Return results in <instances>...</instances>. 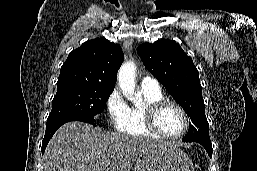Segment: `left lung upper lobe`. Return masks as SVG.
<instances>
[{
	"instance_id": "1",
	"label": "left lung upper lobe",
	"mask_w": 257,
	"mask_h": 171,
	"mask_svg": "<svg viewBox=\"0 0 257 171\" xmlns=\"http://www.w3.org/2000/svg\"><path fill=\"white\" fill-rule=\"evenodd\" d=\"M146 69L156 77L190 118L184 142L210 141L199 72L192 59L172 40L145 43L137 49Z\"/></svg>"
}]
</instances>
